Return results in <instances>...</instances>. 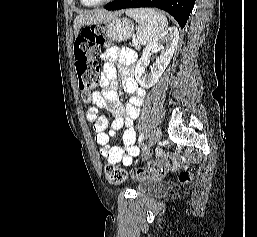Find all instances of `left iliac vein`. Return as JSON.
Returning a JSON list of instances; mask_svg holds the SVG:
<instances>
[{
  "instance_id": "obj_1",
  "label": "left iliac vein",
  "mask_w": 257,
  "mask_h": 237,
  "mask_svg": "<svg viewBox=\"0 0 257 237\" xmlns=\"http://www.w3.org/2000/svg\"><path fill=\"white\" fill-rule=\"evenodd\" d=\"M161 136H162V132H161V130L159 128H157L156 130H154L152 132V134L149 137L148 146H147V148H146V150L144 152L145 154H146V152L148 151V149L150 147L154 146L156 143H158L160 141Z\"/></svg>"
}]
</instances>
